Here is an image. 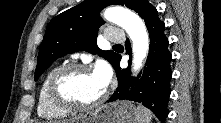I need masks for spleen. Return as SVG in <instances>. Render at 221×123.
I'll list each match as a JSON object with an SVG mask.
<instances>
[{
	"label": "spleen",
	"instance_id": "spleen-1",
	"mask_svg": "<svg viewBox=\"0 0 221 123\" xmlns=\"http://www.w3.org/2000/svg\"><path fill=\"white\" fill-rule=\"evenodd\" d=\"M152 118L153 114L150 112V110L141 105L137 107L138 123H151Z\"/></svg>",
	"mask_w": 221,
	"mask_h": 123
}]
</instances>
